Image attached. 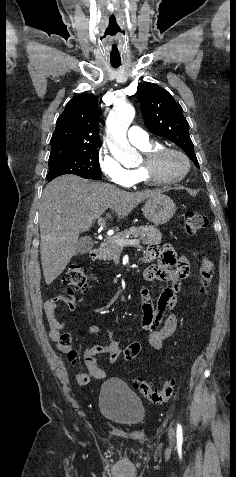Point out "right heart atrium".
Instances as JSON below:
<instances>
[{
    "mask_svg": "<svg viewBox=\"0 0 236 477\" xmlns=\"http://www.w3.org/2000/svg\"><path fill=\"white\" fill-rule=\"evenodd\" d=\"M98 164L101 172L111 184L121 187L131 186L129 170L123 167L120 162L104 147L99 151Z\"/></svg>",
    "mask_w": 236,
    "mask_h": 477,
    "instance_id": "1",
    "label": "right heart atrium"
}]
</instances>
